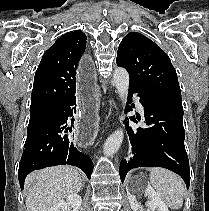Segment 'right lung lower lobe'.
Returning a JSON list of instances; mask_svg holds the SVG:
<instances>
[{
  "mask_svg": "<svg viewBox=\"0 0 209 211\" xmlns=\"http://www.w3.org/2000/svg\"><path fill=\"white\" fill-rule=\"evenodd\" d=\"M76 113V97H69L50 109L36 128L27 134L25 150L19 163L18 178L21 189L26 176L37 169L55 165H73L90 179L93 162L88 155L77 150L69 133L68 118ZM74 120L71 119V125Z\"/></svg>",
  "mask_w": 209,
  "mask_h": 211,
  "instance_id": "right-lung-lower-lobe-1",
  "label": "right lung lower lobe"
}]
</instances>
